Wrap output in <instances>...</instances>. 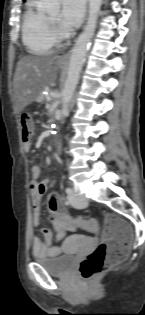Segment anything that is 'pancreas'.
Returning a JSON list of instances; mask_svg holds the SVG:
<instances>
[{
	"instance_id": "pancreas-1",
	"label": "pancreas",
	"mask_w": 145,
	"mask_h": 315,
	"mask_svg": "<svg viewBox=\"0 0 145 315\" xmlns=\"http://www.w3.org/2000/svg\"><path fill=\"white\" fill-rule=\"evenodd\" d=\"M40 100H41V101L47 100V96L41 95V96H40Z\"/></svg>"
}]
</instances>
